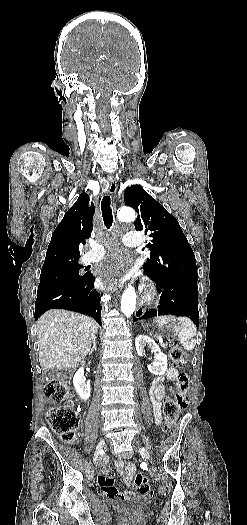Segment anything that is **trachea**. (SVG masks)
Wrapping results in <instances>:
<instances>
[{
	"label": "trachea",
	"mask_w": 247,
	"mask_h": 525,
	"mask_svg": "<svg viewBox=\"0 0 247 525\" xmlns=\"http://www.w3.org/2000/svg\"><path fill=\"white\" fill-rule=\"evenodd\" d=\"M101 211L105 227L108 229L111 228L113 224V213L111 209V201L109 195L103 197L101 202Z\"/></svg>",
	"instance_id": "trachea-1"
}]
</instances>
